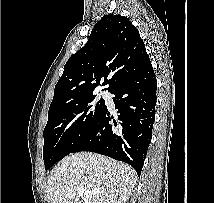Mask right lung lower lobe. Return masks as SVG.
<instances>
[{
  "label": "right lung lower lobe",
  "instance_id": "1",
  "mask_svg": "<svg viewBox=\"0 0 214 203\" xmlns=\"http://www.w3.org/2000/svg\"><path fill=\"white\" fill-rule=\"evenodd\" d=\"M157 82L152 65L109 90L118 110L117 121L107 106L71 153L90 151L130 164L141 174L155 120ZM113 120V124L109 121Z\"/></svg>",
  "mask_w": 214,
  "mask_h": 203
}]
</instances>
